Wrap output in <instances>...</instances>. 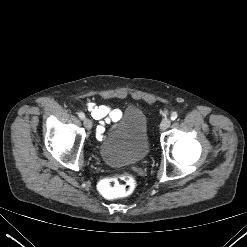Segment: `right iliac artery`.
<instances>
[{
	"label": "right iliac artery",
	"instance_id": "obj_1",
	"mask_svg": "<svg viewBox=\"0 0 247 247\" xmlns=\"http://www.w3.org/2000/svg\"><path fill=\"white\" fill-rule=\"evenodd\" d=\"M78 116L80 119H84L85 118V114L83 112H79Z\"/></svg>",
	"mask_w": 247,
	"mask_h": 247
}]
</instances>
